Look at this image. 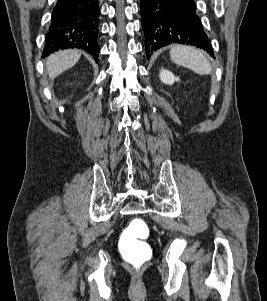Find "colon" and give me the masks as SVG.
<instances>
[{
    "instance_id": "colon-1",
    "label": "colon",
    "mask_w": 267,
    "mask_h": 301,
    "mask_svg": "<svg viewBox=\"0 0 267 301\" xmlns=\"http://www.w3.org/2000/svg\"><path fill=\"white\" fill-rule=\"evenodd\" d=\"M148 236V225L141 218L132 219L121 236L120 252L135 269H140L151 258V248L145 241Z\"/></svg>"
}]
</instances>
